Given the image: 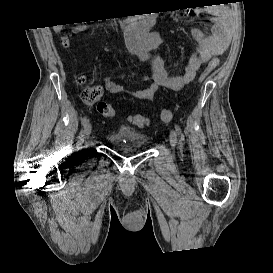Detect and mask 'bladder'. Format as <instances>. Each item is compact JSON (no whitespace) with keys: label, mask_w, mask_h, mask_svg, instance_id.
<instances>
[{"label":"bladder","mask_w":273,"mask_h":273,"mask_svg":"<svg viewBox=\"0 0 273 273\" xmlns=\"http://www.w3.org/2000/svg\"><path fill=\"white\" fill-rule=\"evenodd\" d=\"M107 141L118 153L129 154L143 149L148 143V136L130 125H120L108 135Z\"/></svg>","instance_id":"obj_1"}]
</instances>
